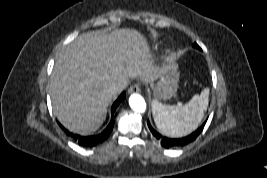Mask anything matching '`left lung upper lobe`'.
I'll use <instances>...</instances> for the list:
<instances>
[{
	"label": "left lung upper lobe",
	"mask_w": 267,
	"mask_h": 178,
	"mask_svg": "<svg viewBox=\"0 0 267 178\" xmlns=\"http://www.w3.org/2000/svg\"><path fill=\"white\" fill-rule=\"evenodd\" d=\"M193 46L197 49H200V47L196 43Z\"/></svg>",
	"instance_id": "left-lung-upper-lobe-1"
}]
</instances>
